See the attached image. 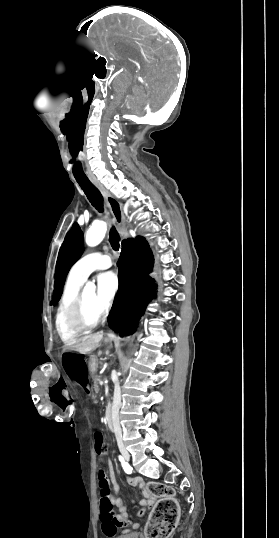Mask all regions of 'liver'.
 Instances as JSON below:
<instances>
[{"label": "liver", "instance_id": "6515ba94", "mask_svg": "<svg viewBox=\"0 0 279 538\" xmlns=\"http://www.w3.org/2000/svg\"><path fill=\"white\" fill-rule=\"evenodd\" d=\"M102 338L103 334H94V336H88L84 342H80L77 346H71V348H74V350L80 352V354H90V352H93V350L98 348V344L101 342Z\"/></svg>", "mask_w": 279, "mask_h": 538}]
</instances>
